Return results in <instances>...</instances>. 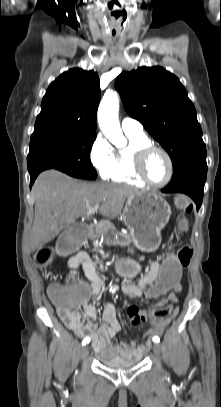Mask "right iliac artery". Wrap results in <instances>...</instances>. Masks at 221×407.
I'll list each match as a JSON object with an SVG mask.
<instances>
[{"label": "right iliac artery", "mask_w": 221, "mask_h": 407, "mask_svg": "<svg viewBox=\"0 0 221 407\" xmlns=\"http://www.w3.org/2000/svg\"><path fill=\"white\" fill-rule=\"evenodd\" d=\"M89 342H90V339L88 337L84 338L83 341H82V345H86Z\"/></svg>", "instance_id": "1"}]
</instances>
